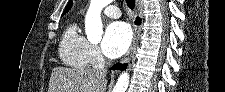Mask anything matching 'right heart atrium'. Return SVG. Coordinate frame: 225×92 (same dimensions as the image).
Here are the masks:
<instances>
[{
	"label": "right heart atrium",
	"mask_w": 225,
	"mask_h": 92,
	"mask_svg": "<svg viewBox=\"0 0 225 92\" xmlns=\"http://www.w3.org/2000/svg\"><path fill=\"white\" fill-rule=\"evenodd\" d=\"M88 63L93 66H99L103 63L100 48L92 43H90Z\"/></svg>",
	"instance_id": "d8ad5b80"
}]
</instances>
